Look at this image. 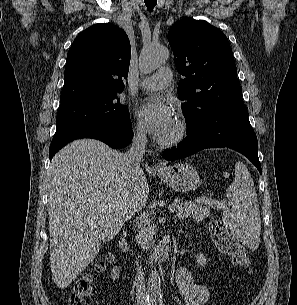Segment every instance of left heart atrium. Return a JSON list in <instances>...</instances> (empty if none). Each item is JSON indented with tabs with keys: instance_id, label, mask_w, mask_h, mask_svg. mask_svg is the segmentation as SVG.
Segmentation results:
<instances>
[{
	"instance_id": "left-heart-atrium-1",
	"label": "left heart atrium",
	"mask_w": 297,
	"mask_h": 305,
	"mask_svg": "<svg viewBox=\"0 0 297 305\" xmlns=\"http://www.w3.org/2000/svg\"><path fill=\"white\" fill-rule=\"evenodd\" d=\"M142 121L147 130L162 139L176 122L175 110L166 98H150L144 102L140 110Z\"/></svg>"
}]
</instances>
